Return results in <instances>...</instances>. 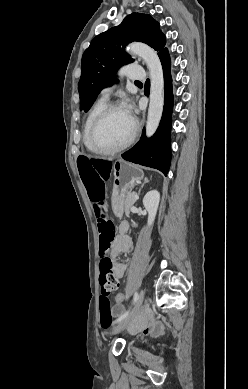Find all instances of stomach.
Masks as SVG:
<instances>
[{"label": "stomach", "instance_id": "obj_1", "mask_svg": "<svg viewBox=\"0 0 248 389\" xmlns=\"http://www.w3.org/2000/svg\"><path fill=\"white\" fill-rule=\"evenodd\" d=\"M112 169V207L115 216H122L126 193L144 178V172L139 166L122 159L112 162Z\"/></svg>", "mask_w": 248, "mask_h": 389}]
</instances>
